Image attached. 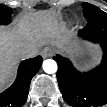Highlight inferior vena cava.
Wrapping results in <instances>:
<instances>
[{"mask_svg":"<svg viewBox=\"0 0 107 107\" xmlns=\"http://www.w3.org/2000/svg\"><path fill=\"white\" fill-rule=\"evenodd\" d=\"M19 53L23 58H32V57H35L37 55L38 49L26 48V49L20 50Z\"/></svg>","mask_w":107,"mask_h":107,"instance_id":"602c4592","label":"inferior vena cava"}]
</instances>
